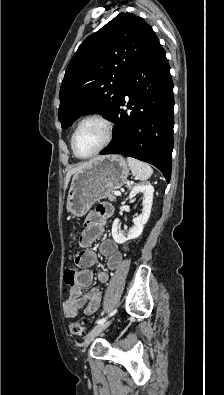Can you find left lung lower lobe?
I'll use <instances>...</instances> for the list:
<instances>
[{
    "instance_id": "obj_1",
    "label": "left lung lower lobe",
    "mask_w": 224,
    "mask_h": 395,
    "mask_svg": "<svg viewBox=\"0 0 224 395\" xmlns=\"http://www.w3.org/2000/svg\"><path fill=\"white\" fill-rule=\"evenodd\" d=\"M125 96L129 102L125 103ZM127 106L130 111L124 110ZM173 82L159 40L129 75L111 120L114 140L101 154H123L157 167L167 182L173 149Z\"/></svg>"
}]
</instances>
